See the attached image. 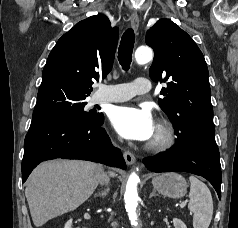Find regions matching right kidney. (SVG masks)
<instances>
[{
    "mask_svg": "<svg viewBox=\"0 0 238 228\" xmlns=\"http://www.w3.org/2000/svg\"><path fill=\"white\" fill-rule=\"evenodd\" d=\"M71 225H72V219H70L69 221L66 222L64 228H71Z\"/></svg>",
    "mask_w": 238,
    "mask_h": 228,
    "instance_id": "obj_1",
    "label": "right kidney"
}]
</instances>
